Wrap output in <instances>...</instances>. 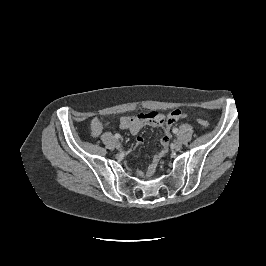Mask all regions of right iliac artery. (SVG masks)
I'll list each match as a JSON object with an SVG mask.
<instances>
[{"instance_id":"1","label":"right iliac artery","mask_w":266,"mask_h":266,"mask_svg":"<svg viewBox=\"0 0 266 266\" xmlns=\"http://www.w3.org/2000/svg\"><path fill=\"white\" fill-rule=\"evenodd\" d=\"M114 137H115L116 139L121 138L120 134H118V133H116V134L114 135Z\"/></svg>"}]
</instances>
